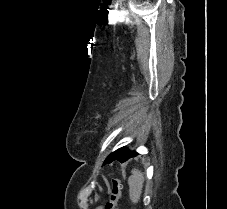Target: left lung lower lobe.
<instances>
[{"label": "left lung lower lobe", "mask_w": 227, "mask_h": 209, "mask_svg": "<svg viewBox=\"0 0 227 209\" xmlns=\"http://www.w3.org/2000/svg\"><path fill=\"white\" fill-rule=\"evenodd\" d=\"M136 154H137L136 152L130 151V150H129V151L123 156V158L120 160V162H124V161L128 160L130 157L135 156Z\"/></svg>", "instance_id": "left-lung-lower-lobe-1"}]
</instances>
